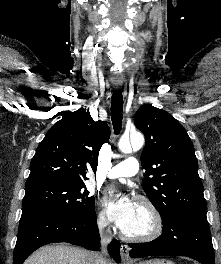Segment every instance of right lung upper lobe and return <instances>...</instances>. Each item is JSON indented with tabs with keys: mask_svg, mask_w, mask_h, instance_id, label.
Listing matches in <instances>:
<instances>
[{
	"mask_svg": "<svg viewBox=\"0 0 221 264\" xmlns=\"http://www.w3.org/2000/svg\"><path fill=\"white\" fill-rule=\"evenodd\" d=\"M110 128L79 109L55 123L39 144L30 164L25 190L49 183L84 184L88 169L96 172L101 146Z\"/></svg>",
	"mask_w": 221,
	"mask_h": 264,
	"instance_id": "1",
	"label": "right lung upper lobe"
}]
</instances>
